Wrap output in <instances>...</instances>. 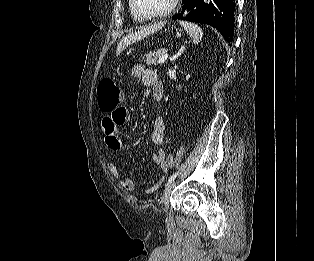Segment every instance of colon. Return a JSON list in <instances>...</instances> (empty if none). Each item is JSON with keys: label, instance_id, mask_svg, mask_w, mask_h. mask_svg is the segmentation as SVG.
<instances>
[{"label": "colon", "instance_id": "colon-1", "mask_svg": "<svg viewBox=\"0 0 314 261\" xmlns=\"http://www.w3.org/2000/svg\"><path fill=\"white\" fill-rule=\"evenodd\" d=\"M98 106L104 114H110L112 109H119L122 102V91L111 79H104L98 86ZM166 168H172L174 161L172 157L165 160Z\"/></svg>", "mask_w": 314, "mask_h": 261}]
</instances>
